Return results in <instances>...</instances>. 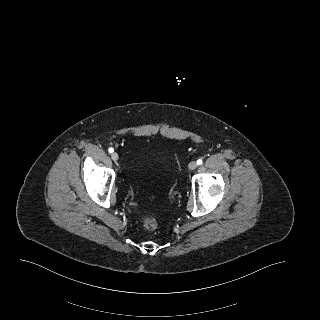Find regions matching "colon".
Listing matches in <instances>:
<instances>
[{
	"label": "colon",
	"instance_id": "colon-1",
	"mask_svg": "<svg viewBox=\"0 0 320 320\" xmlns=\"http://www.w3.org/2000/svg\"><path fill=\"white\" fill-rule=\"evenodd\" d=\"M153 197V196H152ZM142 225L149 230L156 229L158 226V220L154 216H148L142 219Z\"/></svg>",
	"mask_w": 320,
	"mask_h": 320
}]
</instances>
